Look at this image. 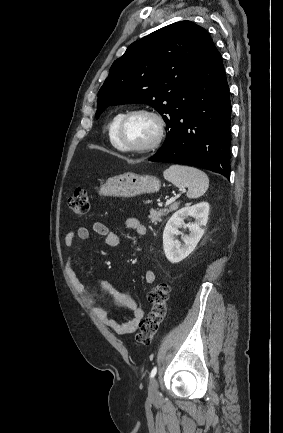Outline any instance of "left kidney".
<instances>
[{
  "label": "left kidney",
  "mask_w": 283,
  "mask_h": 433,
  "mask_svg": "<svg viewBox=\"0 0 283 433\" xmlns=\"http://www.w3.org/2000/svg\"><path fill=\"white\" fill-rule=\"evenodd\" d=\"M209 204L200 202L190 207H183L168 220L163 232V248L166 258L171 263H178L189 256L204 234L208 221ZM194 217L195 222L184 223V219ZM189 228V235L182 236L183 244L176 240L180 227Z\"/></svg>",
  "instance_id": "1"
}]
</instances>
